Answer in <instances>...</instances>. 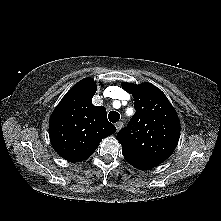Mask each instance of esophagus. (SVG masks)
Masks as SVG:
<instances>
[{"label":"esophagus","instance_id":"esophagus-1","mask_svg":"<svg viewBox=\"0 0 221 221\" xmlns=\"http://www.w3.org/2000/svg\"><path fill=\"white\" fill-rule=\"evenodd\" d=\"M123 127V122H117L116 123V129H117V131H119L121 128Z\"/></svg>","mask_w":221,"mask_h":221}]
</instances>
